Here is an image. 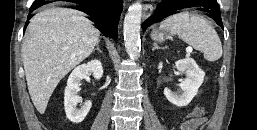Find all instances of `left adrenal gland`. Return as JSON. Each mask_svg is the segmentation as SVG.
<instances>
[{
    "label": "left adrenal gland",
    "mask_w": 257,
    "mask_h": 130,
    "mask_svg": "<svg viewBox=\"0 0 257 130\" xmlns=\"http://www.w3.org/2000/svg\"><path fill=\"white\" fill-rule=\"evenodd\" d=\"M156 49H164V48L163 47H159L157 43H154L152 50L154 51Z\"/></svg>",
    "instance_id": "1"
}]
</instances>
